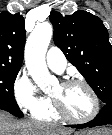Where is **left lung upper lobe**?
Here are the masks:
<instances>
[{
  "label": "left lung upper lobe",
  "instance_id": "1",
  "mask_svg": "<svg viewBox=\"0 0 112 135\" xmlns=\"http://www.w3.org/2000/svg\"><path fill=\"white\" fill-rule=\"evenodd\" d=\"M54 42L84 76L104 104L112 103V46L101 19L79 10L70 16L53 11Z\"/></svg>",
  "mask_w": 112,
  "mask_h": 135
}]
</instances>
